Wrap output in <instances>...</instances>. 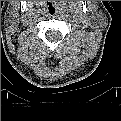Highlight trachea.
Returning a JSON list of instances; mask_svg holds the SVG:
<instances>
[{
	"label": "trachea",
	"mask_w": 121,
	"mask_h": 121,
	"mask_svg": "<svg viewBox=\"0 0 121 121\" xmlns=\"http://www.w3.org/2000/svg\"><path fill=\"white\" fill-rule=\"evenodd\" d=\"M57 12H58L57 7L54 4L50 3L49 6H48V13H49V15L54 16V15L57 14Z\"/></svg>",
	"instance_id": "3493384b"
}]
</instances>
